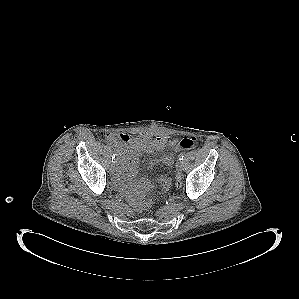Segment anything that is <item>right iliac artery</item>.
<instances>
[{"mask_svg": "<svg viewBox=\"0 0 299 299\" xmlns=\"http://www.w3.org/2000/svg\"><path fill=\"white\" fill-rule=\"evenodd\" d=\"M115 160V155L113 154L112 161ZM115 162V161H114Z\"/></svg>", "mask_w": 299, "mask_h": 299, "instance_id": "obj_1", "label": "right iliac artery"}]
</instances>
